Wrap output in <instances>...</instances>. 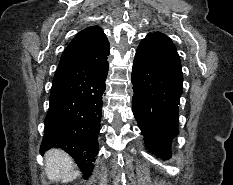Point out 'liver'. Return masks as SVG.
<instances>
[{
	"label": "liver",
	"instance_id": "1",
	"mask_svg": "<svg viewBox=\"0 0 233 185\" xmlns=\"http://www.w3.org/2000/svg\"><path fill=\"white\" fill-rule=\"evenodd\" d=\"M45 171L52 181L71 182L79 176L73 159L63 150L51 149L45 154Z\"/></svg>",
	"mask_w": 233,
	"mask_h": 185
}]
</instances>
